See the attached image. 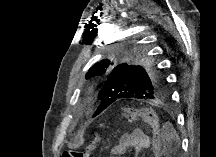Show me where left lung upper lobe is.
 Masks as SVG:
<instances>
[{
  "label": "left lung upper lobe",
  "instance_id": "1",
  "mask_svg": "<svg viewBox=\"0 0 216 157\" xmlns=\"http://www.w3.org/2000/svg\"><path fill=\"white\" fill-rule=\"evenodd\" d=\"M127 44V39H118ZM108 59L94 64L85 78L105 77L99 92L101 103L124 99L155 100L167 95V82L158 68L150 64L140 48L108 49Z\"/></svg>",
  "mask_w": 216,
  "mask_h": 157
}]
</instances>
